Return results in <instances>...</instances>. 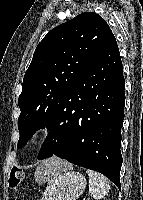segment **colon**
Wrapping results in <instances>:
<instances>
[{
    "instance_id": "5ec220e1",
    "label": "colon",
    "mask_w": 143,
    "mask_h": 200,
    "mask_svg": "<svg viewBox=\"0 0 143 200\" xmlns=\"http://www.w3.org/2000/svg\"><path fill=\"white\" fill-rule=\"evenodd\" d=\"M24 179V172L18 167H13L9 174V186L13 189L17 188Z\"/></svg>"
}]
</instances>
